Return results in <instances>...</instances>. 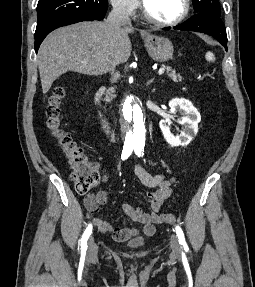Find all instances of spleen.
Returning <instances> with one entry per match:
<instances>
[{
	"instance_id": "spleen-1",
	"label": "spleen",
	"mask_w": 255,
	"mask_h": 287,
	"mask_svg": "<svg viewBox=\"0 0 255 287\" xmlns=\"http://www.w3.org/2000/svg\"><path fill=\"white\" fill-rule=\"evenodd\" d=\"M205 58H206V60H208V62H214V60H215V56H213V54H211V52H207Z\"/></svg>"
}]
</instances>
